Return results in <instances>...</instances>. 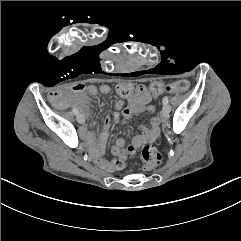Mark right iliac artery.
Wrapping results in <instances>:
<instances>
[{"mask_svg": "<svg viewBox=\"0 0 241 241\" xmlns=\"http://www.w3.org/2000/svg\"><path fill=\"white\" fill-rule=\"evenodd\" d=\"M72 112H73L75 115L78 114V110H77L76 108H73V109H72Z\"/></svg>", "mask_w": 241, "mask_h": 241, "instance_id": "82829eb1", "label": "right iliac artery"}]
</instances>
